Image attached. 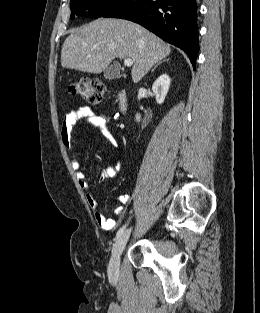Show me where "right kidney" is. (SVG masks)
<instances>
[{
  "label": "right kidney",
  "instance_id": "obj_1",
  "mask_svg": "<svg viewBox=\"0 0 260 313\" xmlns=\"http://www.w3.org/2000/svg\"><path fill=\"white\" fill-rule=\"evenodd\" d=\"M170 81V77L167 74H162L153 83L152 90L158 104H162L164 102L170 87ZM140 117L141 116L137 114L136 120L140 121Z\"/></svg>",
  "mask_w": 260,
  "mask_h": 313
}]
</instances>
